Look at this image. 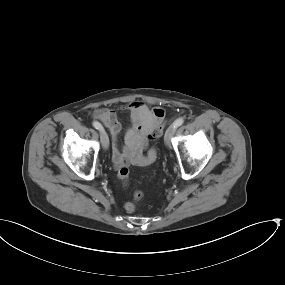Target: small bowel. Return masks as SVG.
Here are the masks:
<instances>
[{
    "instance_id": "small-bowel-1",
    "label": "small bowel",
    "mask_w": 285,
    "mask_h": 285,
    "mask_svg": "<svg viewBox=\"0 0 285 285\" xmlns=\"http://www.w3.org/2000/svg\"><path fill=\"white\" fill-rule=\"evenodd\" d=\"M125 109L131 116V127L125 137V152H121L117 144L121 126L116 111L100 108L93 112V117L110 129L113 138L112 160L116 168L131 164L148 166L155 160L156 153L154 149H148L147 135L156 125L165 121V110L161 107L149 108L140 101L130 103Z\"/></svg>"
}]
</instances>
